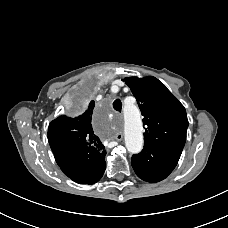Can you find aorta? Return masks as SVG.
I'll return each instance as SVG.
<instances>
[{
    "label": "aorta",
    "instance_id": "obj_1",
    "mask_svg": "<svg viewBox=\"0 0 228 228\" xmlns=\"http://www.w3.org/2000/svg\"><path fill=\"white\" fill-rule=\"evenodd\" d=\"M124 113L125 146L130 153H139L143 148L142 120L138 107L126 104Z\"/></svg>",
    "mask_w": 228,
    "mask_h": 228
}]
</instances>
